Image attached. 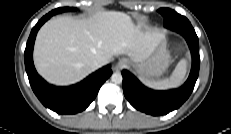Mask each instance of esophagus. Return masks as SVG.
<instances>
[{
  "label": "esophagus",
  "instance_id": "obj_1",
  "mask_svg": "<svg viewBox=\"0 0 231 134\" xmlns=\"http://www.w3.org/2000/svg\"><path fill=\"white\" fill-rule=\"evenodd\" d=\"M126 65V60L125 59H121L117 62L116 66H115V69L118 70V69H122L123 67H125Z\"/></svg>",
  "mask_w": 231,
  "mask_h": 134
}]
</instances>
